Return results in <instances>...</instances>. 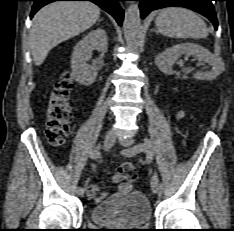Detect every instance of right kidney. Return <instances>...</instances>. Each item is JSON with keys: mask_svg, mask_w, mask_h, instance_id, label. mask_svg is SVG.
Masks as SVG:
<instances>
[{"mask_svg": "<svg viewBox=\"0 0 234 231\" xmlns=\"http://www.w3.org/2000/svg\"><path fill=\"white\" fill-rule=\"evenodd\" d=\"M108 48L107 35L104 29L91 31L79 41L71 56V69L74 79L81 85L89 86L96 80L97 70L87 63L93 49L105 53Z\"/></svg>", "mask_w": 234, "mask_h": 231, "instance_id": "right-kidney-1", "label": "right kidney"}]
</instances>
